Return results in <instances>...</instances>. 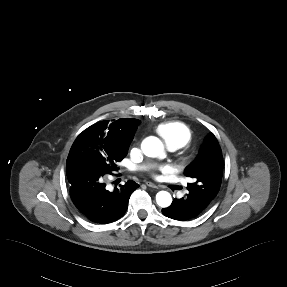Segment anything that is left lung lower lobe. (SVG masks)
Here are the masks:
<instances>
[{
    "instance_id": "1",
    "label": "left lung lower lobe",
    "mask_w": 287,
    "mask_h": 287,
    "mask_svg": "<svg viewBox=\"0 0 287 287\" xmlns=\"http://www.w3.org/2000/svg\"><path fill=\"white\" fill-rule=\"evenodd\" d=\"M209 204L210 203L201 201L189 193L181 199L175 198L169 207L162 209V213L166 217L185 221L200 215Z\"/></svg>"
}]
</instances>
